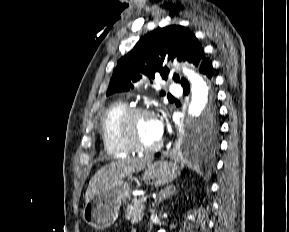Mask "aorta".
<instances>
[{"instance_id": "aorta-1", "label": "aorta", "mask_w": 289, "mask_h": 232, "mask_svg": "<svg viewBox=\"0 0 289 232\" xmlns=\"http://www.w3.org/2000/svg\"><path fill=\"white\" fill-rule=\"evenodd\" d=\"M184 75L191 83V102L188 108V114L195 119H206L213 114L210 106V87L204 79L194 71L183 68ZM159 232H165V228H160Z\"/></svg>"}]
</instances>
